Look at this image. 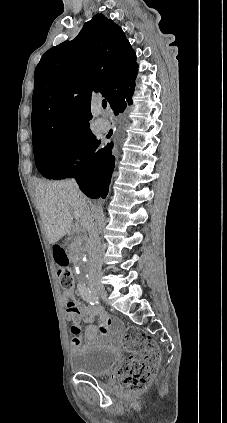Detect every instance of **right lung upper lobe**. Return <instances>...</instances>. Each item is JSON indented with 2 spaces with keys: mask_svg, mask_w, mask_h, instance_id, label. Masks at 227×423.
<instances>
[{
  "mask_svg": "<svg viewBox=\"0 0 227 423\" xmlns=\"http://www.w3.org/2000/svg\"><path fill=\"white\" fill-rule=\"evenodd\" d=\"M136 54L122 29L102 14L84 24L72 41L49 49L35 69L32 142L54 135L91 133V94L110 106L134 92Z\"/></svg>",
  "mask_w": 227,
  "mask_h": 423,
  "instance_id": "cb5924a9",
  "label": "right lung upper lobe"
}]
</instances>
